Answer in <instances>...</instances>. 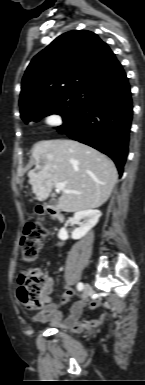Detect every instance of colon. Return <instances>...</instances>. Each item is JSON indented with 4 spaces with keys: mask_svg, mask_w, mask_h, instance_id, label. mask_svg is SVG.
Here are the masks:
<instances>
[{
    "mask_svg": "<svg viewBox=\"0 0 145 385\" xmlns=\"http://www.w3.org/2000/svg\"><path fill=\"white\" fill-rule=\"evenodd\" d=\"M46 231L36 223H29L20 239V251L25 263H33L39 254L42 240ZM48 283L42 273L29 270L19 277L18 299L29 309H40L43 306L44 295Z\"/></svg>",
    "mask_w": 145,
    "mask_h": 385,
    "instance_id": "5ec220e1",
    "label": "colon"
}]
</instances>
